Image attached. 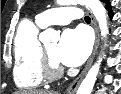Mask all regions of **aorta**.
Here are the masks:
<instances>
[{"instance_id": "aorta-1", "label": "aorta", "mask_w": 121, "mask_h": 94, "mask_svg": "<svg viewBox=\"0 0 121 94\" xmlns=\"http://www.w3.org/2000/svg\"><path fill=\"white\" fill-rule=\"evenodd\" d=\"M57 3L59 5H70V4L78 3L89 7L92 13L94 14L96 20L99 23L101 35L103 37L107 36L109 30L107 25L106 10L100 0H57ZM39 38L42 42H48L50 40H58L59 34L54 29L49 28L44 32H42ZM101 61L102 59L99 58L97 63H95L92 66V68L89 70L86 77L84 78L81 85L79 86L77 90V94H91L99 72Z\"/></svg>"}]
</instances>
